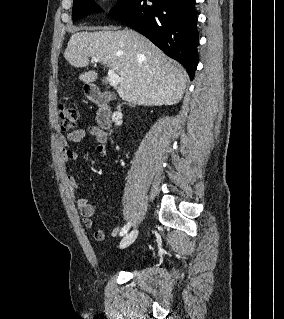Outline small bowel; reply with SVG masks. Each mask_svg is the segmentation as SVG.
I'll return each instance as SVG.
<instances>
[{
	"mask_svg": "<svg viewBox=\"0 0 284 319\" xmlns=\"http://www.w3.org/2000/svg\"><path fill=\"white\" fill-rule=\"evenodd\" d=\"M87 133L95 140L97 153L103 156L106 155L107 134L103 130L96 126L89 127L87 131L83 128H78L60 138V144L64 147L63 159L65 162L75 161L78 158V154L74 150L66 148L68 143L80 142ZM67 182L72 190L77 191L79 189V184L74 177L69 176ZM76 203L78 210L83 218L84 226L88 229L93 228V215L96 212V206L91 203L87 197H79ZM119 231H121L120 226H115L111 229L110 234L111 236H116ZM105 237L106 233L103 230H96L94 232V239L96 241H103Z\"/></svg>",
	"mask_w": 284,
	"mask_h": 319,
	"instance_id": "c3829d8e",
	"label": "small bowel"
}]
</instances>
